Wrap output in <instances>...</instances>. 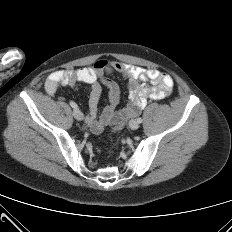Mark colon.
I'll list each match as a JSON object with an SVG mask.
<instances>
[{"label": "colon", "mask_w": 232, "mask_h": 232, "mask_svg": "<svg viewBox=\"0 0 232 232\" xmlns=\"http://www.w3.org/2000/svg\"><path fill=\"white\" fill-rule=\"evenodd\" d=\"M121 119V122H118L115 126H114V128H113V130L114 131H116V130H122L123 129V127H124V125H126L127 124V122H128V115H123V116H121L120 117Z\"/></svg>", "instance_id": "1"}]
</instances>
